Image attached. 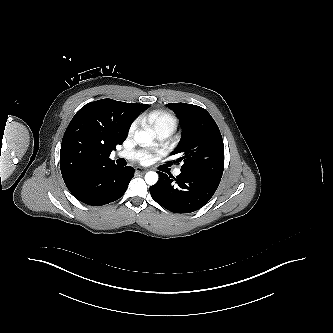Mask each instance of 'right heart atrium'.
<instances>
[{
    "label": "right heart atrium",
    "mask_w": 333,
    "mask_h": 333,
    "mask_svg": "<svg viewBox=\"0 0 333 333\" xmlns=\"http://www.w3.org/2000/svg\"><path fill=\"white\" fill-rule=\"evenodd\" d=\"M137 124H138L137 121H134V122L131 124V126H130V128H129V133H130V134H132V133L135 131V129H136V127H137Z\"/></svg>",
    "instance_id": "obj_1"
}]
</instances>
